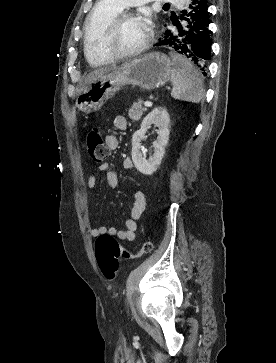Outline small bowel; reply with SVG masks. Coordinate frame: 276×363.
<instances>
[{"label": "small bowel", "mask_w": 276, "mask_h": 363, "mask_svg": "<svg viewBox=\"0 0 276 363\" xmlns=\"http://www.w3.org/2000/svg\"><path fill=\"white\" fill-rule=\"evenodd\" d=\"M114 126L119 130H124L127 126V120L122 115H117L113 120ZM106 146L110 150H115L119 146V138L116 134H108L105 139ZM123 167L125 169L133 168V161L131 158L127 157L123 161ZM99 170L105 171V181L108 187L116 188L119 185V176L115 170H110L108 164H101ZM96 177L94 174L90 175L87 180V187L89 190H93L96 187ZM146 207V197L145 194L138 190L134 194V202L130 210V216L125 221L124 229H116L112 227L96 226L90 229V235L93 237L99 236L101 234H110L122 241L132 242L136 239L138 230V220L142 216Z\"/></svg>", "instance_id": "obj_1"}]
</instances>
